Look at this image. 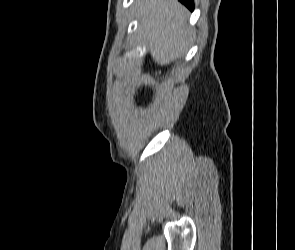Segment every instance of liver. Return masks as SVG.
I'll list each match as a JSON object with an SVG mask.
<instances>
[{
	"label": "liver",
	"instance_id": "6515ba94",
	"mask_svg": "<svg viewBox=\"0 0 295 250\" xmlns=\"http://www.w3.org/2000/svg\"><path fill=\"white\" fill-rule=\"evenodd\" d=\"M141 34L153 60L161 66L187 50V10L177 0L136 1Z\"/></svg>",
	"mask_w": 295,
	"mask_h": 250
}]
</instances>
